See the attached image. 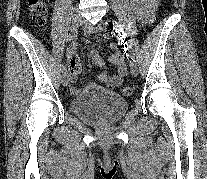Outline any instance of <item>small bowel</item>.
I'll return each mask as SVG.
<instances>
[{
	"label": "small bowel",
	"instance_id": "obj_1",
	"mask_svg": "<svg viewBox=\"0 0 207 179\" xmlns=\"http://www.w3.org/2000/svg\"><path fill=\"white\" fill-rule=\"evenodd\" d=\"M159 0H128V6L134 13L135 17L144 24H150L153 21L154 12L157 8ZM111 50H116L109 58L110 64L115 66L116 72L110 75L106 71L98 73V79L103 83V86L108 90H113L121 85L124 76L127 74V66L125 64L124 53L118 51L117 44L110 45ZM91 57L96 66L100 68L105 67V62L95 49L90 50ZM70 65L73 67L69 75L70 81L73 83L76 80L77 72L80 69L79 60L74 57L70 61ZM76 91V89H73Z\"/></svg>",
	"mask_w": 207,
	"mask_h": 179
}]
</instances>
